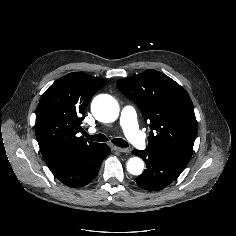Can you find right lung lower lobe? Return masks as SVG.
<instances>
[{"mask_svg": "<svg viewBox=\"0 0 236 236\" xmlns=\"http://www.w3.org/2000/svg\"><path fill=\"white\" fill-rule=\"evenodd\" d=\"M109 153L110 148L102 143L77 147L67 152L49 169L64 185L71 188L82 187L98 174L103 159Z\"/></svg>", "mask_w": 236, "mask_h": 236, "instance_id": "right-lung-lower-lobe-1", "label": "right lung lower lobe"}]
</instances>
